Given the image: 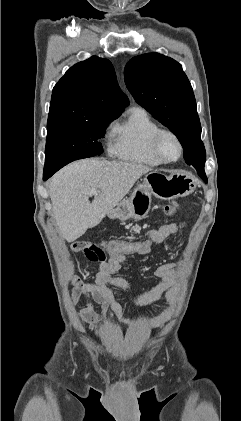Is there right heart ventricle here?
<instances>
[{
    "label": "right heart ventricle",
    "instance_id": "obj_1",
    "mask_svg": "<svg viewBox=\"0 0 241 421\" xmlns=\"http://www.w3.org/2000/svg\"><path fill=\"white\" fill-rule=\"evenodd\" d=\"M160 129L146 110L134 107L117 123L112 133L111 153L122 160L158 166L162 162L152 149V139Z\"/></svg>",
    "mask_w": 241,
    "mask_h": 421
}]
</instances>
